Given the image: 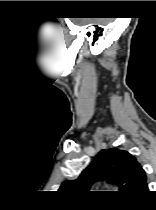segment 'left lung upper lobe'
Masks as SVG:
<instances>
[{"mask_svg": "<svg viewBox=\"0 0 156 210\" xmlns=\"http://www.w3.org/2000/svg\"><path fill=\"white\" fill-rule=\"evenodd\" d=\"M117 184L128 194L148 191L147 177L141 164L129 152L117 148L100 151L93 162L75 180L64 181L61 193H86L95 181Z\"/></svg>", "mask_w": 156, "mask_h": 210, "instance_id": "5c2ea615", "label": "left lung upper lobe"}]
</instances>
